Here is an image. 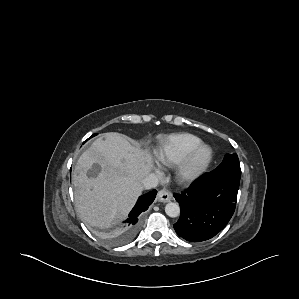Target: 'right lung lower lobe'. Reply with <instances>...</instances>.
Returning a JSON list of instances; mask_svg holds the SVG:
<instances>
[{"label":"right lung lower lobe","mask_w":299,"mask_h":299,"mask_svg":"<svg viewBox=\"0 0 299 299\" xmlns=\"http://www.w3.org/2000/svg\"><path fill=\"white\" fill-rule=\"evenodd\" d=\"M157 191L144 194L139 197L136 205L129 214V218L126 220V224L119 230L113 237L114 243H124L129 241L135 234L139 227L141 217L143 213L148 209L156 197Z\"/></svg>","instance_id":"1"}]
</instances>
